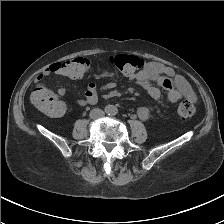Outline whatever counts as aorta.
I'll list each match as a JSON object with an SVG mask.
<instances>
[{
  "mask_svg": "<svg viewBox=\"0 0 224 224\" xmlns=\"http://www.w3.org/2000/svg\"><path fill=\"white\" fill-rule=\"evenodd\" d=\"M107 113L110 114V115H116L117 114V108L115 106H110L108 109H107Z\"/></svg>",
  "mask_w": 224,
  "mask_h": 224,
  "instance_id": "1",
  "label": "aorta"
}]
</instances>
